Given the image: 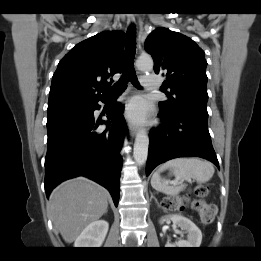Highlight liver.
<instances>
[{
  "label": "liver",
  "mask_w": 261,
  "mask_h": 261,
  "mask_svg": "<svg viewBox=\"0 0 261 261\" xmlns=\"http://www.w3.org/2000/svg\"><path fill=\"white\" fill-rule=\"evenodd\" d=\"M108 191L83 177L66 181L53 190L49 211L65 242H73L90 223L107 211Z\"/></svg>",
  "instance_id": "liver-1"
}]
</instances>
